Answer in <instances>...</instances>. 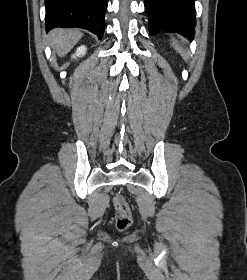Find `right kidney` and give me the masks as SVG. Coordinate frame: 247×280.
Returning <instances> with one entry per match:
<instances>
[{"instance_id":"1","label":"right kidney","mask_w":247,"mask_h":280,"mask_svg":"<svg viewBox=\"0 0 247 280\" xmlns=\"http://www.w3.org/2000/svg\"><path fill=\"white\" fill-rule=\"evenodd\" d=\"M86 53V47L84 45L80 46L77 48L75 55H73V57H81L83 55H85Z\"/></svg>"}]
</instances>
